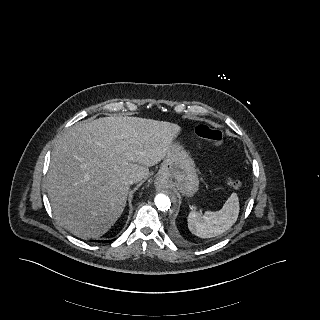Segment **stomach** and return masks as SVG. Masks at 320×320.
<instances>
[{
  "label": "stomach",
  "mask_w": 320,
  "mask_h": 320,
  "mask_svg": "<svg viewBox=\"0 0 320 320\" xmlns=\"http://www.w3.org/2000/svg\"><path fill=\"white\" fill-rule=\"evenodd\" d=\"M158 187L177 189L185 196L198 191L199 179L193 159L182 146L172 143L156 176Z\"/></svg>",
  "instance_id": "1"
}]
</instances>
